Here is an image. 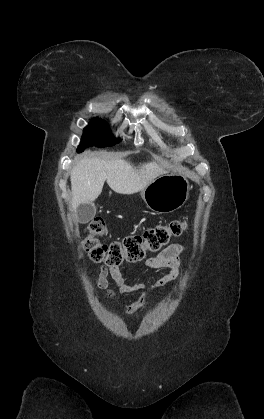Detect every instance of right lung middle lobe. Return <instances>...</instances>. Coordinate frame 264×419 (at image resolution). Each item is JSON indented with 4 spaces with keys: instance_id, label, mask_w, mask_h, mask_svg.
Here are the masks:
<instances>
[{
    "instance_id": "obj_1",
    "label": "right lung middle lobe",
    "mask_w": 264,
    "mask_h": 419,
    "mask_svg": "<svg viewBox=\"0 0 264 419\" xmlns=\"http://www.w3.org/2000/svg\"><path fill=\"white\" fill-rule=\"evenodd\" d=\"M119 142V139H116L111 135L106 122L101 119L94 118L91 120L90 125L84 129L82 140L77 152H82L89 146H113Z\"/></svg>"
}]
</instances>
